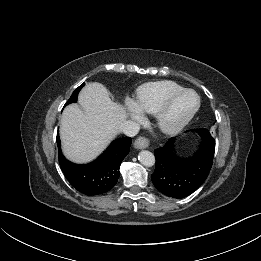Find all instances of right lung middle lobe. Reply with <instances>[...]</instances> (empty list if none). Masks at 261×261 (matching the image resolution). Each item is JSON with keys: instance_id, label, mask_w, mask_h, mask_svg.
<instances>
[{"instance_id": "dd1d6c3e", "label": "right lung middle lobe", "mask_w": 261, "mask_h": 261, "mask_svg": "<svg viewBox=\"0 0 261 261\" xmlns=\"http://www.w3.org/2000/svg\"><path fill=\"white\" fill-rule=\"evenodd\" d=\"M85 85V83L81 84L78 88H76V90L73 92V94L71 95V97L69 98V100L66 102L65 106L70 104V103H74L77 101V96L79 91L82 89V87ZM64 106V107H65Z\"/></svg>"}]
</instances>
